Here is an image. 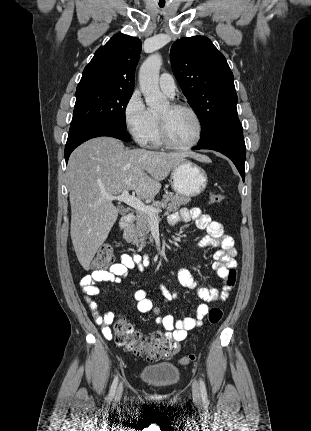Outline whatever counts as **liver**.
<instances>
[{"label": "liver", "instance_id": "1", "mask_svg": "<svg viewBox=\"0 0 311 431\" xmlns=\"http://www.w3.org/2000/svg\"><path fill=\"white\" fill-rule=\"evenodd\" d=\"M185 158L211 162L195 152L127 150L121 140L94 138L72 152L67 168L71 204L70 235L79 263L89 269L99 247L117 221L118 210L103 196L133 190L142 200H152L162 180Z\"/></svg>", "mask_w": 311, "mask_h": 431}]
</instances>
